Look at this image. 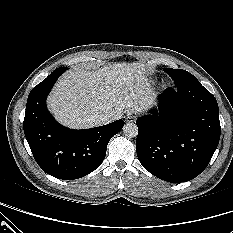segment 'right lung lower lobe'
I'll use <instances>...</instances> for the list:
<instances>
[{"instance_id": "obj_1", "label": "right lung lower lobe", "mask_w": 233, "mask_h": 233, "mask_svg": "<svg viewBox=\"0 0 233 233\" xmlns=\"http://www.w3.org/2000/svg\"><path fill=\"white\" fill-rule=\"evenodd\" d=\"M67 68L54 70L28 97L24 133L38 165L47 174L63 179L81 178L104 160L109 140L124 126L123 120L85 130L68 129L48 112L46 98Z\"/></svg>"}]
</instances>
